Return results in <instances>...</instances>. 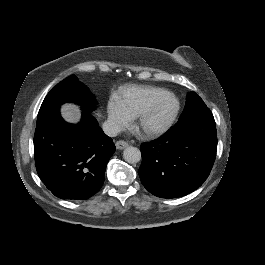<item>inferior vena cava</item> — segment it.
Masks as SVG:
<instances>
[{
    "instance_id": "1",
    "label": "inferior vena cava",
    "mask_w": 265,
    "mask_h": 265,
    "mask_svg": "<svg viewBox=\"0 0 265 265\" xmlns=\"http://www.w3.org/2000/svg\"><path fill=\"white\" fill-rule=\"evenodd\" d=\"M122 125L114 119H108L103 123V131L110 137H116L121 132Z\"/></svg>"
}]
</instances>
